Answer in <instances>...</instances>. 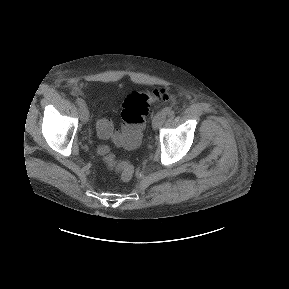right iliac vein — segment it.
Returning <instances> with one entry per match:
<instances>
[{
    "label": "right iliac vein",
    "mask_w": 289,
    "mask_h": 289,
    "mask_svg": "<svg viewBox=\"0 0 289 289\" xmlns=\"http://www.w3.org/2000/svg\"><path fill=\"white\" fill-rule=\"evenodd\" d=\"M80 119L83 123L89 120V111L86 105L80 106Z\"/></svg>",
    "instance_id": "63e3f726"
}]
</instances>
